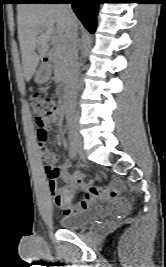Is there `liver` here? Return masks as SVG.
I'll return each instance as SVG.
<instances>
[{
	"label": "liver",
	"mask_w": 166,
	"mask_h": 267,
	"mask_svg": "<svg viewBox=\"0 0 166 267\" xmlns=\"http://www.w3.org/2000/svg\"><path fill=\"white\" fill-rule=\"evenodd\" d=\"M78 26V19H75ZM18 40L21 50V76L30 81L40 60L46 56L56 27L64 40L68 29L62 5L22 3L17 5Z\"/></svg>",
	"instance_id": "1"
}]
</instances>
